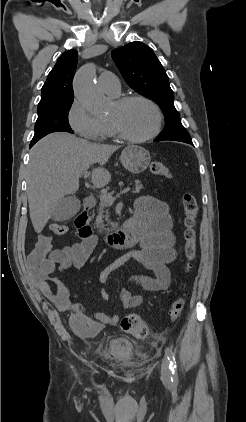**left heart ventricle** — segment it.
<instances>
[{
	"instance_id": "left-heart-ventricle-1",
	"label": "left heart ventricle",
	"mask_w": 246,
	"mask_h": 422,
	"mask_svg": "<svg viewBox=\"0 0 246 422\" xmlns=\"http://www.w3.org/2000/svg\"><path fill=\"white\" fill-rule=\"evenodd\" d=\"M109 120L117 122L128 134L142 137L156 125V114L151 106L142 101H133L123 107L114 104Z\"/></svg>"
}]
</instances>
